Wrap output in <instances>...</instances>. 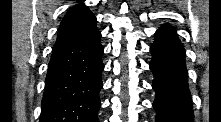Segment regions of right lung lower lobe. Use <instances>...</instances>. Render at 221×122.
Wrapping results in <instances>:
<instances>
[{
  "label": "right lung lower lobe",
  "instance_id": "right-lung-lower-lobe-1",
  "mask_svg": "<svg viewBox=\"0 0 221 122\" xmlns=\"http://www.w3.org/2000/svg\"><path fill=\"white\" fill-rule=\"evenodd\" d=\"M96 21L56 42L39 122H98L103 47Z\"/></svg>",
  "mask_w": 221,
  "mask_h": 122
}]
</instances>
